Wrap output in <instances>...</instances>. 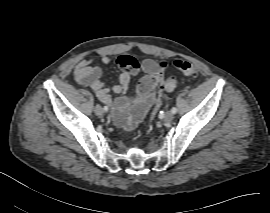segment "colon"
<instances>
[{"label":"colon","mask_w":270,"mask_h":213,"mask_svg":"<svg viewBox=\"0 0 270 213\" xmlns=\"http://www.w3.org/2000/svg\"><path fill=\"white\" fill-rule=\"evenodd\" d=\"M174 65L179 71H181L186 76L193 77V78L198 76V71H197L196 66L189 61L176 60L174 62ZM175 87H176V78L171 77L170 79L164 82L162 88L163 90H166V91H173ZM159 107H160V103L157 102L155 108L158 109Z\"/></svg>","instance_id":"colon-1"}]
</instances>
